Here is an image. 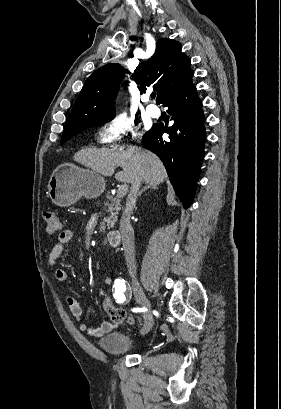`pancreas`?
Returning a JSON list of instances; mask_svg holds the SVG:
<instances>
[{"label":"pancreas","mask_w":281,"mask_h":409,"mask_svg":"<svg viewBox=\"0 0 281 409\" xmlns=\"http://www.w3.org/2000/svg\"><path fill=\"white\" fill-rule=\"evenodd\" d=\"M107 198H110V200H112V202H109V200H107V202H104L105 207H107L108 209L107 213H109V217H105V219H103L101 227H104L105 223H107V227L108 229H110V227H114L118 219V211H121V205L120 198H113L111 194H107ZM113 211H115V213H113Z\"/></svg>","instance_id":"obj_1"}]
</instances>
